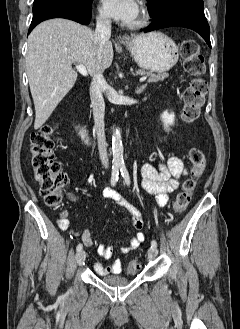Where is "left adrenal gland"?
<instances>
[{"label": "left adrenal gland", "instance_id": "obj_1", "mask_svg": "<svg viewBox=\"0 0 240 329\" xmlns=\"http://www.w3.org/2000/svg\"><path fill=\"white\" fill-rule=\"evenodd\" d=\"M145 87L146 85H142L140 88H137L136 94H141L144 91Z\"/></svg>", "mask_w": 240, "mask_h": 329}]
</instances>
